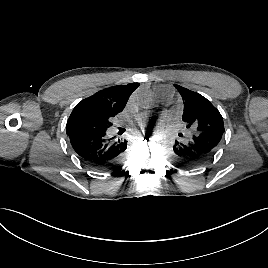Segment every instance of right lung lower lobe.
<instances>
[{
  "label": "right lung lower lobe",
  "instance_id": "obj_1",
  "mask_svg": "<svg viewBox=\"0 0 268 268\" xmlns=\"http://www.w3.org/2000/svg\"><path fill=\"white\" fill-rule=\"evenodd\" d=\"M70 143L79 159L100 171H109L122 162L127 141L108 137L106 132L97 134L70 133Z\"/></svg>",
  "mask_w": 268,
  "mask_h": 268
}]
</instances>
